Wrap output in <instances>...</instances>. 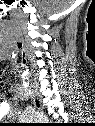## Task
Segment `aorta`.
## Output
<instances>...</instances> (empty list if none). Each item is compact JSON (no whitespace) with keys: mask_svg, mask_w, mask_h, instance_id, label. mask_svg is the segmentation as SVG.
Returning <instances> with one entry per match:
<instances>
[{"mask_svg":"<svg viewBox=\"0 0 95 126\" xmlns=\"http://www.w3.org/2000/svg\"><path fill=\"white\" fill-rule=\"evenodd\" d=\"M28 119L31 121L32 120H34V121H48V118L46 116L39 115V114H34Z\"/></svg>","mask_w":95,"mask_h":126,"instance_id":"aorta-1","label":"aorta"}]
</instances>
